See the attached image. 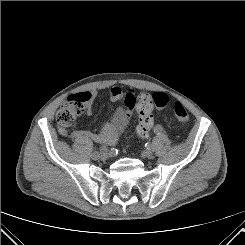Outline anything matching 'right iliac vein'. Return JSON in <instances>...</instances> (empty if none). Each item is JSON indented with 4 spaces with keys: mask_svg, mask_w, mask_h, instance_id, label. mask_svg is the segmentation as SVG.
Listing matches in <instances>:
<instances>
[{
    "mask_svg": "<svg viewBox=\"0 0 245 245\" xmlns=\"http://www.w3.org/2000/svg\"><path fill=\"white\" fill-rule=\"evenodd\" d=\"M91 156H92V158L95 159V160H96V159H99V158H102V157H105V156H103L102 154H100L99 152H93Z\"/></svg>",
    "mask_w": 245,
    "mask_h": 245,
    "instance_id": "obj_1",
    "label": "right iliac vein"
}]
</instances>
